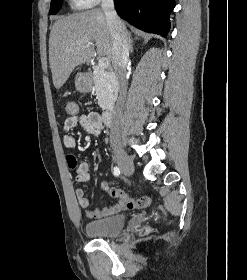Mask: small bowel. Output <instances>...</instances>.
Returning a JSON list of instances; mask_svg holds the SVG:
<instances>
[{"mask_svg": "<svg viewBox=\"0 0 247 280\" xmlns=\"http://www.w3.org/2000/svg\"><path fill=\"white\" fill-rule=\"evenodd\" d=\"M78 126L82 127L88 134L98 136L102 131L103 120L100 114L94 111L67 118L63 126V142L67 149H73L76 146V140L70 131ZM90 169V165L87 162L79 164L74 170L76 181L88 182L91 176ZM102 188L117 201L101 209H92L89 207V200L83 189L78 188L75 191L78 204L89 219L105 218L127 209L145 207L151 202V198L149 197L134 199L121 189L110 188L105 182L102 184Z\"/></svg>", "mask_w": 247, "mask_h": 280, "instance_id": "obj_1", "label": "small bowel"}]
</instances>
